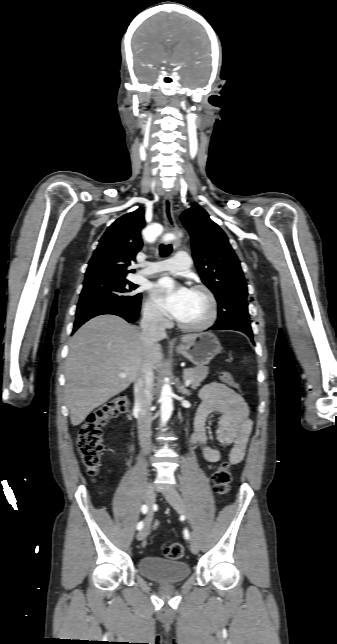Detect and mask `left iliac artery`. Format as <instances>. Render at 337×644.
<instances>
[{
  "mask_svg": "<svg viewBox=\"0 0 337 644\" xmlns=\"http://www.w3.org/2000/svg\"><path fill=\"white\" fill-rule=\"evenodd\" d=\"M184 536L186 539H189V532L187 529L184 530Z\"/></svg>",
  "mask_w": 337,
  "mask_h": 644,
  "instance_id": "obj_1",
  "label": "left iliac artery"
}]
</instances>
